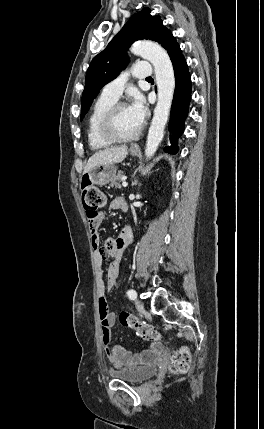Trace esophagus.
<instances>
[{
    "label": "esophagus",
    "instance_id": "1",
    "mask_svg": "<svg viewBox=\"0 0 264 429\" xmlns=\"http://www.w3.org/2000/svg\"><path fill=\"white\" fill-rule=\"evenodd\" d=\"M132 149H139V146L138 145H133Z\"/></svg>",
    "mask_w": 264,
    "mask_h": 429
}]
</instances>
